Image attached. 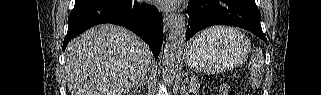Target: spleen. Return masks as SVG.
Returning <instances> with one entry per match:
<instances>
[{"label":"spleen","instance_id":"3e777b00","mask_svg":"<svg viewBox=\"0 0 321 95\" xmlns=\"http://www.w3.org/2000/svg\"><path fill=\"white\" fill-rule=\"evenodd\" d=\"M234 29L228 27H212L204 32L201 36L219 37L224 34L231 33ZM250 70L249 84L252 88H258L262 82L264 72V56L260 48L256 49L248 64Z\"/></svg>","mask_w":321,"mask_h":95}]
</instances>
